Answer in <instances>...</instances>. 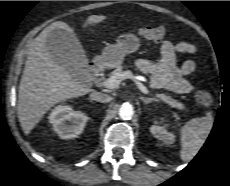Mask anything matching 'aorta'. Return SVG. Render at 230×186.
<instances>
[{"mask_svg": "<svg viewBox=\"0 0 230 186\" xmlns=\"http://www.w3.org/2000/svg\"><path fill=\"white\" fill-rule=\"evenodd\" d=\"M134 114L132 105L124 103L119 109V116L123 120H129Z\"/></svg>", "mask_w": 230, "mask_h": 186, "instance_id": "762f6f07", "label": "aorta"}]
</instances>
